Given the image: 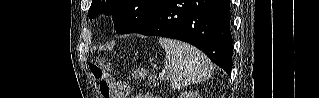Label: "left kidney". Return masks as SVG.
I'll return each instance as SVG.
<instances>
[{"label":"left kidney","instance_id":"1","mask_svg":"<svg viewBox=\"0 0 319 98\" xmlns=\"http://www.w3.org/2000/svg\"><path fill=\"white\" fill-rule=\"evenodd\" d=\"M179 98H202V96L198 92H184Z\"/></svg>","mask_w":319,"mask_h":98}]
</instances>
